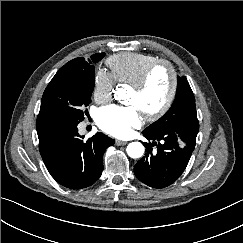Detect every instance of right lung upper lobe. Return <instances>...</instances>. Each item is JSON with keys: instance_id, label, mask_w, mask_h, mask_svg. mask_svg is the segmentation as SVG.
I'll return each instance as SVG.
<instances>
[{"instance_id": "obj_1", "label": "right lung upper lobe", "mask_w": 243, "mask_h": 243, "mask_svg": "<svg viewBox=\"0 0 243 243\" xmlns=\"http://www.w3.org/2000/svg\"><path fill=\"white\" fill-rule=\"evenodd\" d=\"M90 63H88L87 61H85L84 58L79 57V58H76V59H73V60L69 61L68 63H66L60 69L61 70H85L89 66H91Z\"/></svg>"}]
</instances>
